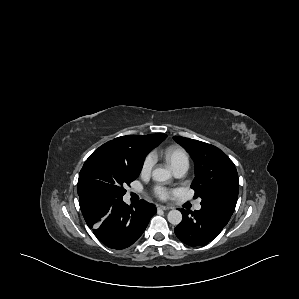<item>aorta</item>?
<instances>
[{
  "instance_id": "762f6f07",
  "label": "aorta",
  "mask_w": 299,
  "mask_h": 299,
  "mask_svg": "<svg viewBox=\"0 0 299 299\" xmlns=\"http://www.w3.org/2000/svg\"><path fill=\"white\" fill-rule=\"evenodd\" d=\"M152 178L157 182H165L171 178V172L165 168H156L152 172ZM169 223L178 225L182 221V213L179 210L173 209L167 215Z\"/></svg>"
}]
</instances>
